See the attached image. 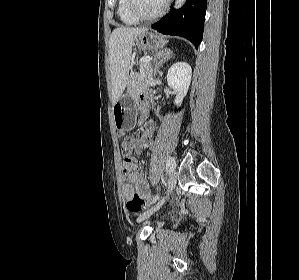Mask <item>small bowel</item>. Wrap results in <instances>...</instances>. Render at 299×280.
<instances>
[{"mask_svg":"<svg viewBox=\"0 0 299 280\" xmlns=\"http://www.w3.org/2000/svg\"><path fill=\"white\" fill-rule=\"evenodd\" d=\"M142 104H144L143 107ZM140 107L142 110H145V103L141 102ZM155 129L156 123L154 121L147 122L144 131L135 143V151L137 153H141L143 149L149 147V140L153 136ZM122 195L126 200H130L134 196H139L145 201L149 199L150 186L143 172H132L125 176V182L122 185Z\"/></svg>","mask_w":299,"mask_h":280,"instance_id":"1","label":"small bowel"}]
</instances>
